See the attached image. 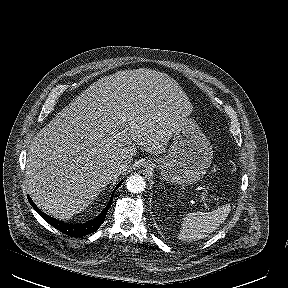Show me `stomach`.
I'll return each instance as SVG.
<instances>
[{
    "label": "stomach",
    "mask_w": 288,
    "mask_h": 288,
    "mask_svg": "<svg viewBox=\"0 0 288 288\" xmlns=\"http://www.w3.org/2000/svg\"><path fill=\"white\" fill-rule=\"evenodd\" d=\"M213 159L211 143L192 119H185L173 137L170 152L163 158L144 163L149 171L159 169L161 176L174 184L192 185L201 180Z\"/></svg>",
    "instance_id": "1"
}]
</instances>
